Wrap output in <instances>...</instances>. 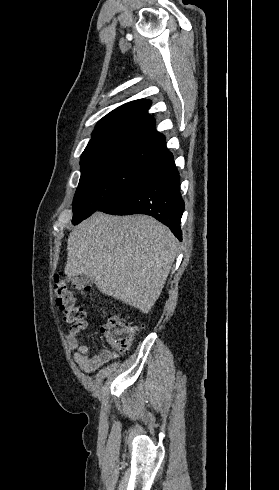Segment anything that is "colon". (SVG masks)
<instances>
[{"label":"colon","mask_w":279,"mask_h":490,"mask_svg":"<svg viewBox=\"0 0 279 490\" xmlns=\"http://www.w3.org/2000/svg\"><path fill=\"white\" fill-rule=\"evenodd\" d=\"M72 284L81 293L90 291L89 285L78 279L74 281L68 276L58 275L53 280L54 298L62 309V320L66 324L81 321L86 315L85 310L77 305ZM106 316L108 329H104V338H108L109 344L115 352L124 353L128 351L135 339L136 328L124 325L112 314L107 313Z\"/></svg>","instance_id":"5ec220e1"}]
</instances>
